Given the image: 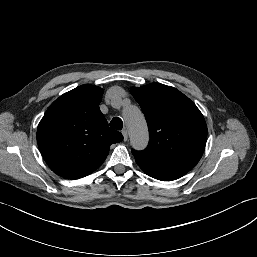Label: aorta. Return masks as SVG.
<instances>
[{
	"mask_svg": "<svg viewBox=\"0 0 257 257\" xmlns=\"http://www.w3.org/2000/svg\"><path fill=\"white\" fill-rule=\"evenodd\" d=\"M124 119L128 126L131 144L135 149H143L148 143V130L144 116L136 106L124 110Z\"/></svg>",
	"mask_w": 257,
	"mask_h": 257,
	"instance_id": "obj_1",
	"label": "aorta"
}]
</instances>
